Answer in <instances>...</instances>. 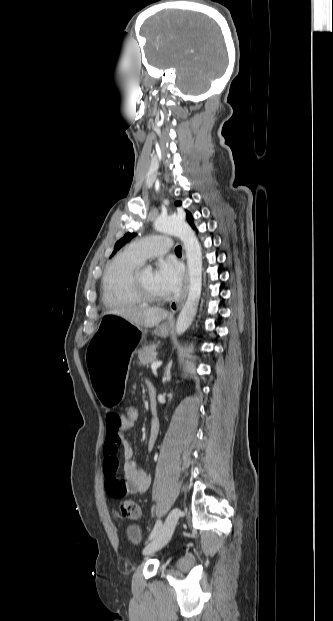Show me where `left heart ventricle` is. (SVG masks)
I'll return each mask as SVG.
<instances>
[{
    "label": "left heart ventricle",
    "mask_w": 333,
    "mask_h": 621,
    "mask_svg": "<svg viewBox=\"0 0 333 621\" xmlns=\"http://www.w3.org/2000/svg\"><path fill=\"white\" fill-rule=\"evenodd\" d=\"M140 281L142 286L152 295L163 297L166 294L161 290L154 280V271L143 269L140 273Z\"/></svg>",
    "instance_id": "b2bd125f"
}]
</instances>
